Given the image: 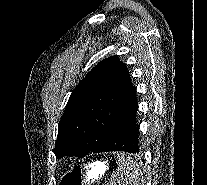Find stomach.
Masks as SVG:
<instances>
[{"label": "stomach", "mask_w": 207, "mask_h": 185, "mask_svg": "<svg viewBox=\"0 0 207 185\" xmlns=\"http://www.w3.org/2000/svg\"><path fill=\"white\" fill-rule=\"evenodd\" d=\"M106 170L105 162L99 161L77 166L62 177L60 185H88L102 177Z\"/></svg>", "instance_id": "obj_1"}]
</instances>
